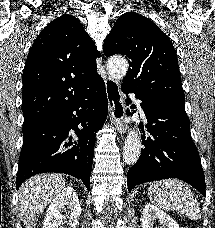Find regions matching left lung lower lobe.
I'll return each mask as SVG.
<instances>
[{"label": "left lung lower lobe", "instance_id": "0a47b994", "mask_svg": "<svg viewBox=\"0 0 215 228\" xmlns=\"http://www.w3.org/2000/svg\"><path fill=\"white\" fill-rule=\"evenodd\" d=\"M121 88L126 94L131 92L122 86ZM136 98L142 101L141 107L151 137H142L145 148L136 164L128 171V190L145 182L178 178L205 196V177L197 148L191 138L184 100L138 95ZM126 102L129 104L131 101L127 99Z\"/></svg>", "mask_w": 215, "mask_h": 228}]
</instances>
